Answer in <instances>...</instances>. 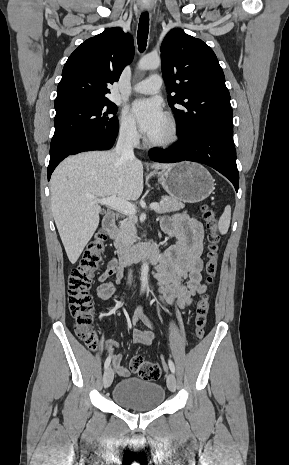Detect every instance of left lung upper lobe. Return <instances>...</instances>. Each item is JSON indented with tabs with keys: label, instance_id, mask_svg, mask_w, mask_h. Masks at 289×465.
I'll list each match as a JSON object with an SVG mask.
<instances>
[{
	"label": "left lung upper lobe",
	"instance_id": "5c2ea615",
	"mask_svg": "<svg viewBox=\"0 0 289 465\" xmlns=\"http://www.w3.org/2000/svg\"><path fill=\"white\" fill-rule=\"evenodd\" d=\"M168 103L178 119L177 133L207 128L233 134V111L225 77L213 50L202 40L172 29L161 45ZM174 104L184 106L176 108Z\"/></svg>",
	"mask_w": 289,
	"mask_h": 465
}]
</instances>
